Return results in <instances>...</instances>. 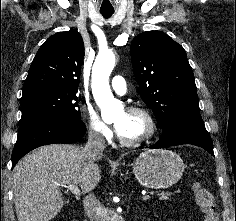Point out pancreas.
I'll return each mask as SVG.
<instances>
[{
	"label": "pancreas",
	"instance_id": "cf45deb5",
	"mask_svg": "<svg viewBox=\"0 0 236 221\" xmlns=\"http://www.w3.org/2000/svg\"><path fill=\"white\" fill-rule=\"evenodd\" d=\"M176 193H180V190H177ZM171 195H172L171 192H162V193H160L159 199L160 200H168V199H170Z\"/></svg>",
	"mask_w": 236,
	"mask_h": 221
}]
</instances>
